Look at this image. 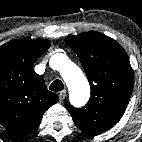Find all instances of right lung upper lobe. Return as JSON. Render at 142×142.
<instances>
[{
    "mask_svg": "<svg viewBox=\"0 0 142 142\" xmlns=\"http://www.w3.org/2000/svg\"><path fill=\"white\" fill-rule=\"evenodd\" d=\"M49 40L22 38L0 47V124L17 137L33 133L59 97L47 90L33 64Z\"/></svg>",
    "mask_w": 142,
    "mask_h": 142,
    "instance_id": "right-lung-upper-lobe-1",
    "label": "right lung upper lobe"
}]
</instances>
